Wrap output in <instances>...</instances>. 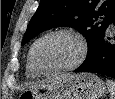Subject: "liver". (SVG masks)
Masks as SVG:
<instances>
[{
	"label": "liver",
	"mask_w": 115,
	"mask_h": 99,
	"mask_svg": "<svg viewBox=\"0 0 115 99\" xmlns=\"http://www.w3.org/2000/svg\"><path fill=\"white\" fill-rule=\"evenodd\" d=\"M62 77H65V76H62ZM57 80H54L53 82H56ZM42 86H45V84H35V85H32L29 87V89H33V88H38V87H42Z\"/></svg>",
	"instance_id": "6515ba94"
}]
</instances>
